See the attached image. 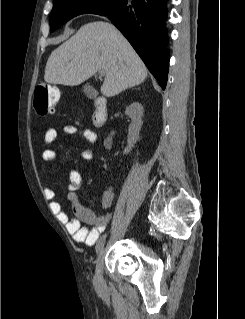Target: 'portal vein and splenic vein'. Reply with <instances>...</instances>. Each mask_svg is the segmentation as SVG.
Instances as JSON below:
<instances>
[{"instance_id":"1","label":"portal vein and splenic vein","mask_w":245,"mask_h":319,"mask_svg":"<svg viewBox=\"0 0 245 319\" xmlns=\"http://www.w3.org/2000/svg\"><path fill=\"white\" fill-rule=\"evenodd\" d=\"M99 76H103L104 72L102 70L98 71Z\"/></svg>"}]
</instances>
